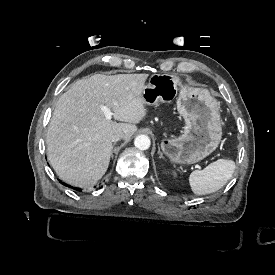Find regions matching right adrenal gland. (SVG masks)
<instances>
[{
  "mask_svg": "<svg viewBox=\"0 0 275 275\" xmlns=\"http://www.w3.org/2000/svg\"><path fill=\"white\" fill-rule=\"evenodd\" d=\"M111 158H113V150L111 151Z\"/></svg>",
  "mask_w": 275,
  "mask_h": 275,
  "instance_id": "2a0ac1e0",
  "label": "right adrenal gland"
}]
</instances>
